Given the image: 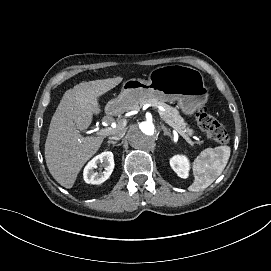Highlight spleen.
Masks as SVG:
<instances>
[{"instance_id": "obj_1", "label": "spleen", "mask_w": 271, "mask_h": 271, "mask_svg": "<svg viewBox=\"0 0 271 271\" xmlns=\"http://www.w3.org/2000/svg\"><path fill=\"white\" fill-rule=\"evenodd\" d=\"M230 155L231 147L222 145L197 156L192 163L194 181L188 190L198 192L210 186L223 172Z\"/></svg>"}]
</instances>
